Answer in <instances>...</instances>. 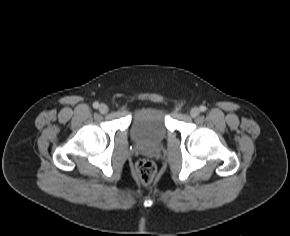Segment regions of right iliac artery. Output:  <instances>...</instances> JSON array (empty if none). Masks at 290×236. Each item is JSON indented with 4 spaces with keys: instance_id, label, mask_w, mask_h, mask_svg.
<instances>
[{
    "instance_id": "1",
    "label": "right iliac artery",
    "mask_w": 290,
    "mask_h": 236,
    "mask_svg": "<svg viewBox=\"0 0 290 236\" xmlns=\"http://www.w3.org/2000/svg\"><path fill=\"white\" fill-rule=\"evenodd\" d=\"M93 107H94V108H98V107H99V103H98V102H94V103H93Z\"/></svg>"
}]
</instances>
